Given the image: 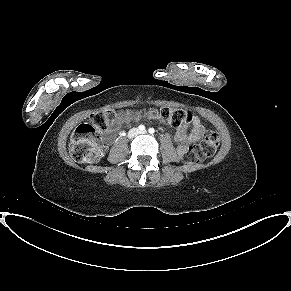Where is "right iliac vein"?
Listing matches in <instances>:
<instances>
[{
  "instance_id": "63e3f726",
  "label": "right iliac vein",
  "mask_w": 291,
  "mask_h": 291,
  "mask_svg": "<svg viewBox=\"0 0 291 291\" xmlns=\"http://www.w3.org/2000/svg\"><path fill=\"white\" fill-rule=\"evenodd\" d=\"M137 133H138L137 129H132L129 133V137H133V136L137 135Z\"/></svg>"
}]
</instances>
